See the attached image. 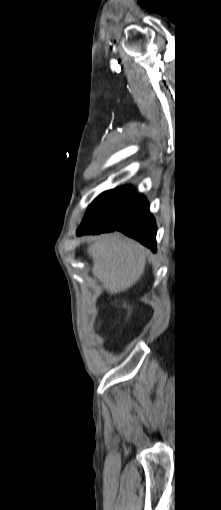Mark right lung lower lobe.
<instances>
[{
  "label": "right lung lower lobe",
  "instance_id": "98d812e1",
  "mask_svg": "<svg viewBox=\"0 0 221 510\" xmlns=\"http://www.w3.org/2000/svg\"><path fill=\"white\" fill-rule=\"evenodd\" d=\"M118 230L140 241L156 252V224L149 212V204L143 195L131 194L125 212L120 219L112 220L88 208L77 230V235L98 234Z\"/></svg>",
  "mask_w": 221,
  "mask_h": 510
}]
</instances>
